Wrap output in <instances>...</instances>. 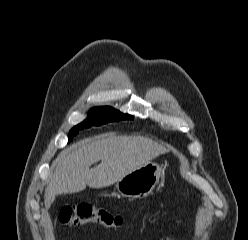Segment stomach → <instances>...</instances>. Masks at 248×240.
<instances>
[{
	"label": "stomach",
	"instance_id": "1",
	"mask_svg": "<svg viewBox=\"0 0 248 240\" xmlns=\"http://www.w3.org/2000/svg\"><path fill=\"white\" fill-rule=\"evenodd\" d=\"M162 174V167L150 162L117 181L116 189L124 197L140 199L152 193Z\"/></svg>",
	"mask_w": 248,
	"mask_h": 240
}]
</instances>
